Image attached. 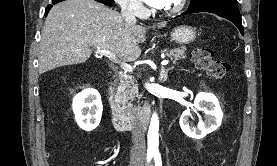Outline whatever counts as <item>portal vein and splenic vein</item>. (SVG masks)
Segmentation results:
<instances>
[{"label":"portal vein and splenic vein","instance_id":"obj_1","mask_svg":"<svg viewBox=\"0 0 277 166\" xmlns=\"http://www.w3.org/2000/svg\"><path fill=\"white\" fill-rule=\"evenodd\" d=\"M96 53H98V54H100V55H104V56H106V57H108V58H110V59H112V60H116V56L113 54V53H111L110 51H106V50H100V49H98L97 51H96ZM169 63V61L168 60H163L162 62H161V64L162 65H167ZM122 65L124 66V69H126V70H132V67L130 66V65H128V64H126V63H122Z\"/></svg>","mask_w":277,"mask_h":166}]
</instances>
